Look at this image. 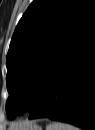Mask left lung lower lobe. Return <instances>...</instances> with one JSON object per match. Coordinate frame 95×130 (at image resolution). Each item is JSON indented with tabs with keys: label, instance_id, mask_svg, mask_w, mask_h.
I'll list each match as a JSON object with an SVG mask.
<instances>
[{
	"label": "left lung lower lobe",
	"instance_id": "left-lung-lower-lobe-1",
	"mask_svg": "<svg viewBox=\"0 0 95 130\" xmlns=\"http://www.w3.org/2000/svg\"><path fill=\"white\" fill-rule=\"evenodd\" d=\"M30 119L47 117L95 129V14L53 67Z\"/></svg>",
	"mask_w": 95,
	"mask_h": 130
}]
</instances>
